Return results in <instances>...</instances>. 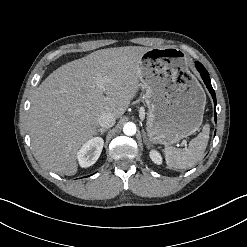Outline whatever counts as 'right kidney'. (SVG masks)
I'll use <instances>...</instances> for the list:
<instances>
[{
	"label": "right kidney",
	"mask_w": 247,
	"mask_h": 247,
	"mask_svg": "<svg viewBox=\"0 0 247 247\" xmlns=\"http://www.w3.org/2000/svg\"><path fill=\"white\" fill-rule=\"evenodd\" d=\"M104 141L95 137L85 142L77 153V159L81 167L86 168L93 165L99 158Z\"/></svg>",
	"instance_id": "obj_1"
}]
</instances>
